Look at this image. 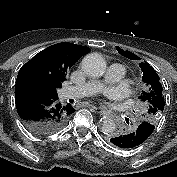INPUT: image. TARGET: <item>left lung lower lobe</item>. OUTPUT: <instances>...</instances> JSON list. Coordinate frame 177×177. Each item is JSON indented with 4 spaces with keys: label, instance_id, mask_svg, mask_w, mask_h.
Segmentation results:
<instances>
[{
    "label": "left lung lower lobe",
    "instance_id": "obj_1",
    "mask_svg": "<svg viewBox=\"0 0 177 177\" xmlns=\"http://www.w3.org/2000/svg\"><path fill=\"white\" fill-rule=\"evenodd\" d=\"M155 126L150 122L143 121L133 131L116 135L110 139V142L122 149H131L138 147L145 142L154 131Z\"/></svg>",
    "mask_w": 177,
    "mask_h": 177
}]
</instances>
